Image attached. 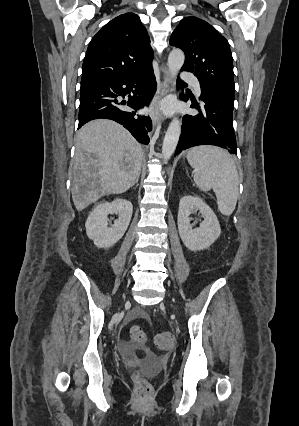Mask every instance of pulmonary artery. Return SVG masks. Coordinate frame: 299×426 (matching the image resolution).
Segmentation results:
<instances>
[{
	"label": "pulmonary artery",
	"instance_id": "1",
	"mask_svg": "<svg viewBox=\"0 0 299 426\" xmlns=\"http://www.w3.org/2000/svg\"><path fill=\"white\" fill-rule=\"evenodd\" d=\"M183 78L192 85L195 94L199 97L201 95V87L199 81L195 77L190 75H184Z\"/></svg>",
	"mask_w": 299,
	"mask_h": 426
}]
</instances>
